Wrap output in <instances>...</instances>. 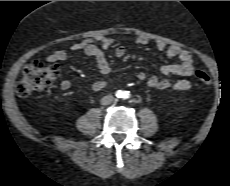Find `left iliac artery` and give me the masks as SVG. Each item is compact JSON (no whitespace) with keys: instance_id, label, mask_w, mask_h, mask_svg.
<instances>
[{"instance_id":"44dca946","label":"left iliac artery","mask_w":230,"mask_h":186,"mask_svg":"<svg viewBox=\"0 0 230 186\" xmlns=\"http://www.w3.org/2000/svg\"><path fill=\"white\" fill-rule=\"evenodd\" d=\"M129 95H130L129 92L126 91V92H125V97L127 98Z\"/></svg>"}]
</instances>
